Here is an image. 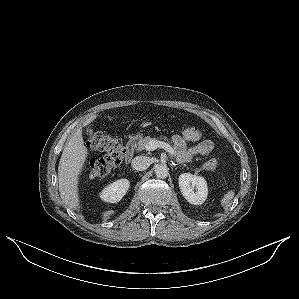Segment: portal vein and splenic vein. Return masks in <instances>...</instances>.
Masks as SVG:
<instances>
[{"label": "portal vein and splenic vein", "mask_w": 299, "mask_h": 299, "mask_svg": "<svg viewBox=\"0 0 299 299\" xmlns=\"http://www.w3.org/2000/svg\"><path fill=\"white\" fill-rule=\"evenodd\" d=\"M158 147L163 148L164 150H166L171 156L175 155V152L173 150V148L162 141H150L147 145H146V150L148 151H154L156 150Z\"/></svg>", "instance_id": "obj_1"}]
</instances>
